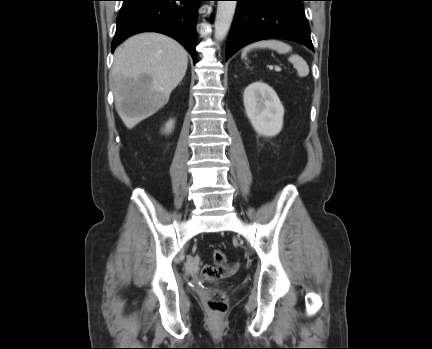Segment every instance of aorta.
Returning <instances> with one entry per match:
<instances>
[{"label": "aorta", "mask_w": 432, "mask_h": 349, "mask_svg": "<svg viewBox=\"0 0 432 349\" xmlns=\"http://www.w3.org/2000/svg\"><path fill=\"white\" fill-rule=\"evenodd\" d=\"M236 5V1L217 2V13L215 18L214 32V37L216 41H222L226 37L233 21Z\"/></svg>", "instance_id": "1"}]
</instances>
